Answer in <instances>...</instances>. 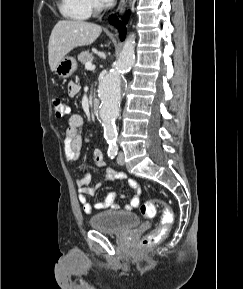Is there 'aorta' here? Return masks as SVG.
Segmentation results:
<instances>
[{"instance_id":"1","label":"aorta","mask_w":243,"mask_h":289,"mask_svg":"<svg viewBox=\"0 0 243 289\" xmlns=\"http://www.w3.org/2000/svg\"><path fill=\"white\" fill-rule=\"evenodd\" d=\"M134 62L135 40L134 34H131L125 40L114 68L101 79L98 87V96L101 101L99 118L104 128V138L108 143V151L112 153L118 151L115 120L120 111L122 75L131 69Z\"/></svg>"}]
</instances>
